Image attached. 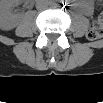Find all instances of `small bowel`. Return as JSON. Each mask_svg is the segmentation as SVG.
<instances>
[{
	"mask_svg": "<svg viewBox=\"0 0 103 103\" xmlns=\"http://www.w3.org/2000/svg\"><path fill=\"white\" fill-rule=\"evenodd\" d=\"M76 9L79 13L85 16H92L94 13V8L90 2H81L76 5Z\"/></svg>",
	"mask_w": 103,
	"mask_h": 103,
	"instance_id": "small-bowel-1",
	"label": "small bowel"
}]
</instances>
